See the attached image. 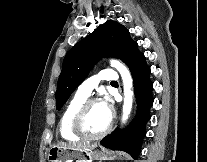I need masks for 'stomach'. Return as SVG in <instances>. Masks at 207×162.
Returning a JSON list of instances; mask_svg holds the SVG:
<instances>
[{
  "label": "stomach",
  "mask_w": 207,
  "mask_h": 162,
  "mask_svg": "<svg viewBox=\"0 0 207 162\" xmlns=\"http://www.w3.org/2000/svg\"><path fill=\"white\" fill-rule=\"evenodd\" d=\"M109 156L110 154L103 149L78 151L54 146L48 151L47 160L48 162H91V160H104ZM118 158H122V156L118 155Z\"/></svg>",
  "instance_id": "stomach-1"
}]
</instances>
